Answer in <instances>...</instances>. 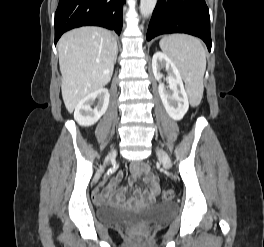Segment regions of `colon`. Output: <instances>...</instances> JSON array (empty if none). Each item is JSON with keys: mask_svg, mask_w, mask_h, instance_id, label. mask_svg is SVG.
Listing matches in <instances>:
<instances>
[{"mask_svg": "<svg viewBox=\"0 0 264 247\" xmlns=\"http://www.w3.org/2000/svg\"><path fill=\"white\" fill-rule=\"evenodd\" d=\"M174 196V193L173 191L171 190H164L162 191L159 196H158V199L160 202H166V201H169L173 198Z\"/></svg>", "mask_w": 264, "mask_h": 247, "instance_id": "1", "label": "colon"}]
</instances>
